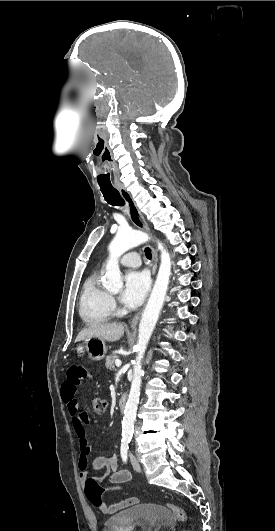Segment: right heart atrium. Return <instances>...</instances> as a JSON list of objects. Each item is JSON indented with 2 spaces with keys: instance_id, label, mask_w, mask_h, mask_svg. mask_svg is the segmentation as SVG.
<instances>
[{
  "instance_id": "d8ad5b80",
  "label": "right heart atrium",
  "mask_w": 275,
  "mask_h": 531,
  "mask_svg": "<svg viewBox=\"0 0 275 531\" xmlns=\"http://www.w3.org/2000/svg\"><path fill=\"white\" fill-rule=\"evenodd\" d=\"M110 305H111L112 310H115L117 308V303L113 296H110Z\"/></svg>"
}]
</instances>
